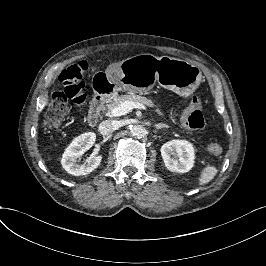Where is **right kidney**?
Returning a JSON list of instances; mask_svg holds the SVG:
<instances>
[{
  "mask_svg": "<svg viewBox=\"0 0 266 266\" xmlns=\"http://www.w3.org/2000/svg\"><path fill=\"white\" fill-rule=\"evenodd\" d=\"M95 140V133L86 132L75 137L70 145L66 148L64 153L67 154L74 162L75 176L89 174L100 164L102 159L101 156H94L88 159L84 164H77V159L94 145Z\"/></svg>",
  "mask_w": 266,
  "mask_h": 266,
  "instance_id": "ca27d5eb",
  "label": "right kidney"
}]
</instances>
